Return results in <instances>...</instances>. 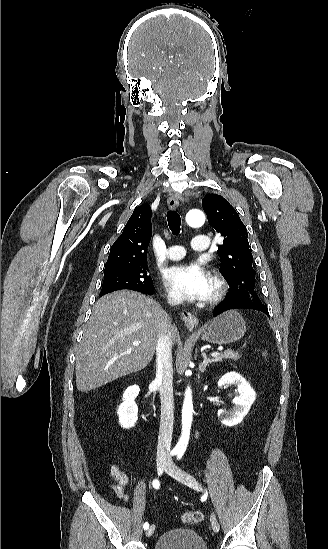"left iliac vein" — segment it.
I'll list each match as a JSON object with an SVG mask.
<instances>
[{"instance_id":"1","label":"left iliac vein","mask_w":328,"mask_h":549,"mask_svg":"<svg viewBox=\"0 0 328 549\" xmlns=\"http://www.w3.org/2000/svg\"><path fill=\"white\" fill-rule=\"evenodd\" d=\"M165 471L176 480H179L194 490L203 491V488L193 476L178 468L170 459L166 463ZM211 526L214 532L219 531V524L214 515L211 517Z\"/></svg>"}]
</instances>
